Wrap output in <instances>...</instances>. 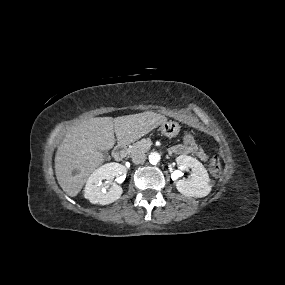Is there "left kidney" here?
I'll return each instance as SVG.
<instances>
[{
  "label": "left kidney",
  "instance_id": "1",
  "mask_svg": "<svg viewBox=\"0 0 285 285\" xmlns=\"http://www.w3.org/2000/svg\"><path fill=\"white\" fill-rule=\"evenodd\" d=\"M178 168L182 171L191 169L192 173L187 180H178L177 190L188 197L202 198L211 191L210 178L201 162L187 155L176 158Z\"/></svg>",
  "mask_w": 285,
  "mask_h": 285
}]
</instances>
